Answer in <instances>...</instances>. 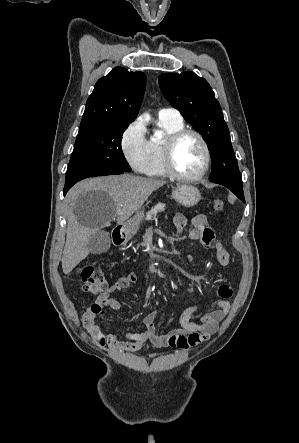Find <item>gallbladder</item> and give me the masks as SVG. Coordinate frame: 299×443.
Masks as SVG:
<instances>
[{
  "label": "gallbladder",
  "instance_id": "obj_1",
  "mask_svg": "<svg viewBox=\"0 0 299 443\" xmlns=\"http://www.w3.org/2000/svg\"><path fill=\"white\" fill-rule=\"evenodd\" d=\"M111 245L110 234L106 231H97L88 241V247L92 254H102Z\"/></svg>",
  "mask_w": 299,
  "mask_h": 443
}]
</instances>
